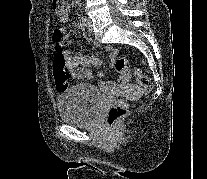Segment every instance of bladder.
<instances>
[{"label":"bladder","instance_id":"obj_1","mask_svg":"<svg viewBox=\"0 0 207 179\" xmlns=\"http://www.w3.org/2000/svg\"><path fill=\"white\" fill-rule=\"evenodd\" d=\"M57 105L63 122L75 127L89 126L100 112L101 94L92 85L74 84L59 94Z\"/></svg>","mask_w":207,"mask_h":179}]
</instances>
